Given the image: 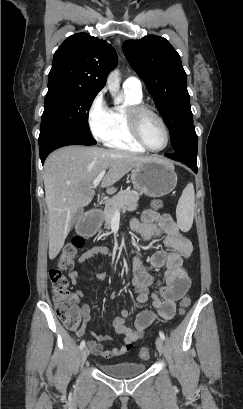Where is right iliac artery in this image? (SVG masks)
I'll return each instance as SVG.
<instances>
[{
	"label": "right iliac artery",
	"instance_id": "1",
	"mask_svg": "<svg viewBox=\"0 0 243 409\" xmlns=\"http://www.w3.org/2000/svg\"><path fill=\"white\" fill-rule=\"evenodd\" d=\"M84 346H85V341L83 340V341L80 343V350H82V349L84 348Z\"/></svg>",
	"mask_w": 243,
	"mask_h": 409
}]
</instances>
